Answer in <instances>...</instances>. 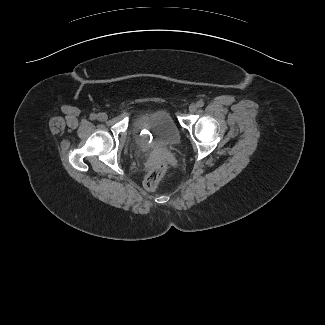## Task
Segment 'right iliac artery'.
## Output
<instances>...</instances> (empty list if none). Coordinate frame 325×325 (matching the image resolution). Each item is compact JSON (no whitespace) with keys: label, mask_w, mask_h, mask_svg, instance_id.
Segmentation results:
<instances>
[{"label":"right iliac artery","mask_w":325,"mask_h":325,"mask_svg":"<svg viewBox=\"0 0 325 325\" xmlns=\"http://www.w3.org/2000/svg\"><path fill=\"white\" fill-rule=\"evenodd\" d=\"M96 118H97V115H96V114L92 113V114L90 115V119H91V120H95Z\"/></svg>","instance_id":"obj_1"}]
</instances>
